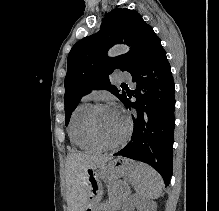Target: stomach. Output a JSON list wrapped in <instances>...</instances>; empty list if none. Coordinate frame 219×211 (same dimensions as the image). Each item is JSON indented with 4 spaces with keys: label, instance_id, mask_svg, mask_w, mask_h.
<instances>
[{
    "label": "stomach",
    "instance_id": "stomach-1",
    "mask_svg": "<svg viewBox=\"0 0 219 211\" xmlns=\"http://www.w3.org/2000/svg\"><path fill=\"white\" fill-rule=\"evenodd\" d=\"M137 164L129 159L112 158L96 167L84 170L88 189V204L85 211H97L100 199L101 181L112 182L134 172Z\"/></svg>",
    "mask_w": 219,
    "mask_h": 211
}]
</instances>
